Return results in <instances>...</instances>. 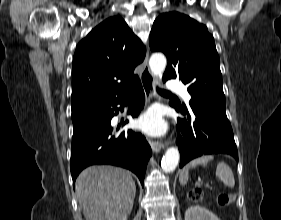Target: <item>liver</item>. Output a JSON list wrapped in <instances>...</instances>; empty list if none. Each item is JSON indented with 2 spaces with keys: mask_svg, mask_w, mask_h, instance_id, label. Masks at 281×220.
<instances>
[{
  "mask_svg": "<svg viewBox=\"0 0 281 220\" xmlns=\"http://www.w3.org/2000/svg\"><path fill=\"white\" fill-rule=\"evenodd\" d=\"M135 192L130 172L118 167L91 166L76 180V195L86 220H127Z\"/></svg>",
  "mask_w": 281,
  "mask_h": 220,
  "instance_id": "1",
  "label": "liver"
}]
</instances>
